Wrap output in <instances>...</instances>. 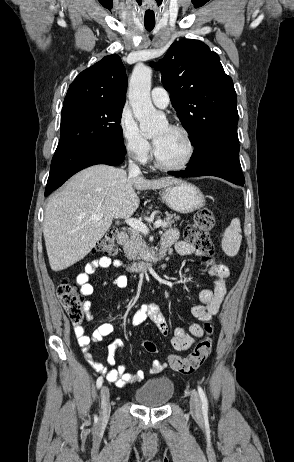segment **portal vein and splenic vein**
I'll return each instance as SVG.
<instances>
[{
	"label": "portal vein and splenic vein",
	"instance_id": "obj_1",
	"mask_svg": "<svg viewBox=\"0 0 294 462\" xmlns=\"http://www.w3.org/2000/svg\"><path fill=\"white\" fill-rule=\"evenodd\" d=\"M103 217V214H96V215H93L91 217L92 220H98L100 218ZM125 222L133 229L139 231V232H142L143 234H148L149 233V229L148 227L140 220V219H136V218H126L125 219ZM162 221L161 220H157L155 221L154 223V227L155 228H159L160 226H162Z\"/></svg>",
	"mask_w": 294,
	"mask_h": 462
}]
</instances>
